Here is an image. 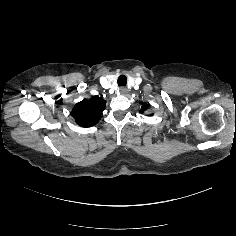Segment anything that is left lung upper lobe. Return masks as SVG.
Returning a JSON list of instances; mask_svg holds the SVG:
<instances>
[{
	"mask_svg": "<svg viewBox=\"0 0 236 236\" xmlns=\"http://www.w3.org/2000/svg\"><path fill=\"white\" fill-rule=\"evenodd\" d=\"M149 105L148 104H142V110L141 112H144L146 109H148Z\"/></svg>",
	"mask_w": 236,
	"mask_h": 236,
	"instance_id": "5c2ea615",
	"label": "left lung upper lobe"
}]
</instances>
